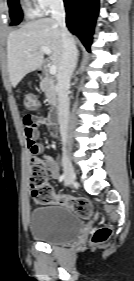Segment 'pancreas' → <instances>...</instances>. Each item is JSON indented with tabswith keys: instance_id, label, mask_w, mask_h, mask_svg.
I'll list each match as a JSON object with an SVG mask.
<instances>
[{
	"instance_id": "obj_1",
	"label": "pancreas",
	"mask_w": 134,
	"mask_h": 281,
	"mask_svg": "<svg viewBox=\"0 0 134 281\" xmlns=\"http://www.w3.org/2000/svg\"><path fill=\"white\" fill-rule=\"evenodd\" d=\"M40 88L45 93L48 103L55 106L57 103V87L55 81L47 76L41 81Z\"/></svg>"
}]
</instances>
